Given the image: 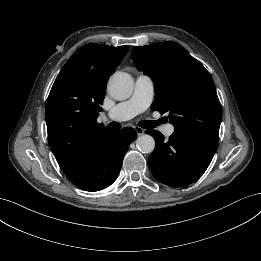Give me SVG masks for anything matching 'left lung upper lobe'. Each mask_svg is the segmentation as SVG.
<instances>
[{
    "label": "left lung upper lobe",
    "mask_w": 261,
    "mask_h": 261,
    "mask_svg": "<svg viewBox=\"0 0 261 261\" xmlns=\"http://www.w3.org/2000/svg\"><path fill=\"white\" fill-rule=\"evenodd\" d=\"M132 58L154 82L152 109L169 114L175 133L219 139L221 105L210 73L198 60L172 41L136 47Z\"/></svg>",
    "instance_id": "1"
}]
</instances>
